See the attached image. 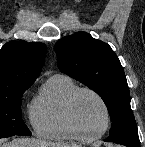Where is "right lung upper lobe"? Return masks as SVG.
Returning <instances> with one entry per match:
<instances>
[{
  "label": "right lung upper lobe",
  "instance_id": "right-lung-upper-lobe-1",
  "mask_svg": "<svg viewBox=\"0 0 145 147\" xmlns=\"http://www.w3.org/2000/svg\"><path fill=\"white\" fill-rule=\"evenodd\" d=\"M47 47L43 43L10 41L0 50V92L31 86L39 76Z\"/></svg>",
  "mask_w": 145,
  "mask_h": 147
}]
</instances>
